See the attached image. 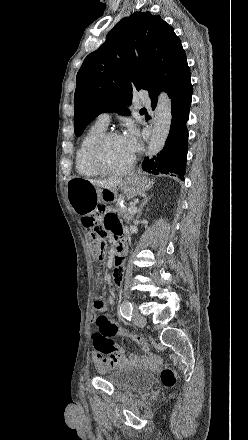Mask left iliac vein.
<instances>
[{"instance_id": "left-iliac-vein-1", "label": "left iliac vein", "mask_w": 248, "mask_h": 440, "mask_svg": "<svg viewBox=\"0 0 248 440\" xmlns=\"http://www.w3.org/2000/svg\"><path fill=\"white\" fill-rule=\"evenodd\" d=\"M132 320L134 324L139 327H144L146 325V318L143 315H141L138 311H135L133 313Z\"/></svg>"}]
</instances>
